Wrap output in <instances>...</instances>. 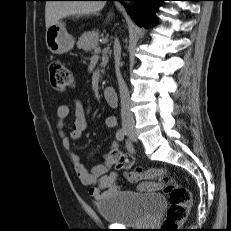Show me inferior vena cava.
<instances>
[{
	"label": "inferior vena cava",
	"mask_w": 231,
	"mask_h": 231,
	"mask_svg": "<svg viewBox=\"0 0 231 231\" xmlns=\"http://www.w3.org/2000/svg\"><path fill=\"white\" fill-rule=\"evenodd\" d=\"M120 59H121V46L119 40L115 38L114 41V60H115V72L119 85V93L121 99V119L123 126L133 127L135 124L133 114L131 112V101L128 91V87L122 78L120 72Z\"/></svg>",
	"instance_id": "obj_1"
}]
</instances>
